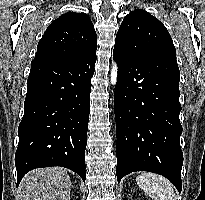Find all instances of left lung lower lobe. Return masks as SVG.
Listing matches in <instances>:
<instances>
[{
	"label": "left lung lower lobe",
	"mask_w": 205,
	"mask_h": 200,
	"mask_svg": "<svg viewBox=\"0 0 205 200\" xmlns=\"http://www.w3.org/2000/svg\"><path fill=\"white\" fill-rule=\"evenodd\" d=\"M117 180L135 171L158 173L180 192L183 153L176 53L131 56L114 48Z\"/></svg>",
	"instance_id": "left-lung-lower-lobe-1"
}]
</instances>
